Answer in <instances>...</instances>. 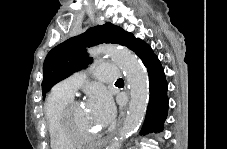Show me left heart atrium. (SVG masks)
Instances as JSON below:
<instances>
[{
    "label": "left heart atrium",
    "instance_id": "1",
    "mask_svg": "<svg viewBox=\"0 0 227 149\" xmlns=\"http://www.w3.org/2000/svg\"><path fill=\"white\" fill-rule=\"evenodd\" d=\"M94 104V116L98 125L103 126L108 124L114 114V106L110 96L104 91H96L92 95Z\"/></svg>",
    "mask_w": 227,
    "mask_h": 149
}]
</instances>
